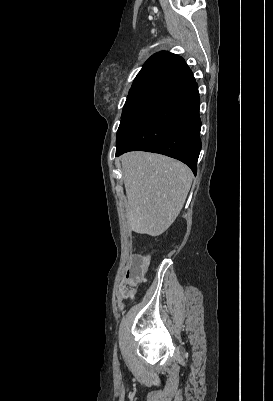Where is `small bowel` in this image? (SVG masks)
<instances>
[{"instance_id": "1", "label": "small bowel", "mask_w": 273, "mask_h": 401, "mask_svg": "<svg viewBox=\"0 0 273 401\" xmlns=\"http://www.w3.org/2000/svg\"><path fill=\"white\" fill-rule=\"evenodd\" d=\"M122 296L125 299H129V298H131L132 293L129 290H125V291H123ZM132 302H137V297H132Z\"/></svg>"}]
</instances>
